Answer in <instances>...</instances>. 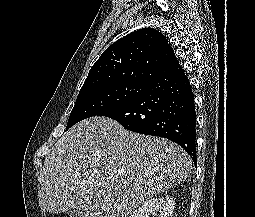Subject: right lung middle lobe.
I'll use <instances>...</instances> for the list:
<instances>
[{"label":"right lung middle lobe","mask_w":255,"mask_h":217,"mask_svg":"<svg viewBox=\"0 0 255 217\" xmlns=\"http://www.w3.org/2000/svg\"><path fill=\"white\" fill-rule=\"evenodd\" d=\"M147 85L111 84L94 87L78 94L66 130L77 122L117 109L141 94Z\"/></svg>","instance_id":"obj_1"}]
</instances>
